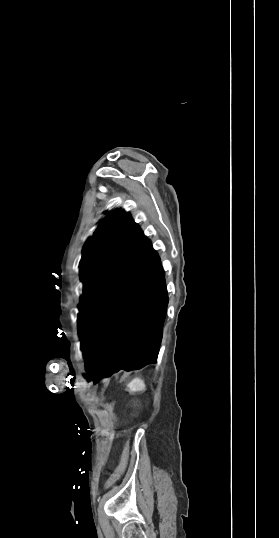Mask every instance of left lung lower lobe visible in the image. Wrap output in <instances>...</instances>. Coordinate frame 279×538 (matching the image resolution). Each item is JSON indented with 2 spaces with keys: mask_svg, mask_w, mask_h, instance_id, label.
Segmentation results:
<instances>
[{
  "mask_svg": "<svg viewBox=\"0 0 279 538\" xmlns=\"http://www.w3.org/2000/svg\"><path fill=\"white\" fill-rule=\"evenodd\" d=\"M167 304L160 258L146 238L78 319L88 374L97 380L155 363Z\"/></svg>",
  "mask_w": 279,
  "mask_h": 538,
  "instance_id": "left-lung-lower-lobe-1",
  "label": "left lung lower lobe"
}]
</instances>
